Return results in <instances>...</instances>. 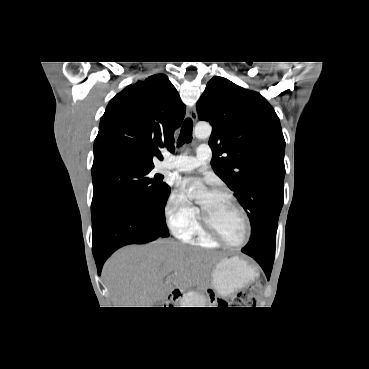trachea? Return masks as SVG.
Instances as JSON below:
<instances>
[{"instance_id": "3493384b", "label": "trachea", "mask_w": 369, "mask_h": 369, "mask_svg": "<svg viewBox=\"0 0 369 369\" xmlns=\"http://www.w3.org/2000/svg\"><path fill=\"white\" fill-rule=\"evenodd\" d=\"M192 130H193V123L191 118L185 119L183 122L181 133L178 138V146H182L185 143H190L192 141Z\"/></svg>"}]
</instances>
